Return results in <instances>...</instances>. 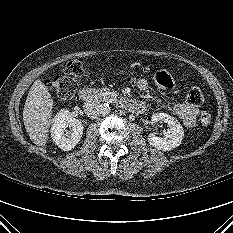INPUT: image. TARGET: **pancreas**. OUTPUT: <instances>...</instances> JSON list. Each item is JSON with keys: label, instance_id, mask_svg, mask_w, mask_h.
I'll return each mask as SVG.
<instances>
[{"label": "pancreas", "instance_id": "obj_1", "mask_svg": "<svg viewBox=\"0 0 233 233\" xmlns=\"http://www.w3.org/2000/svg\"><path fill=\"white\" fill-rule=\"evenodd\" d=\"M101 94V98L105 101H110L112 99H115L117 97V92L116 91H111L108 88H103L101 90H98Z\"/></svg>", "mask_w": 233, "mask_h": 233}]
</instances>
